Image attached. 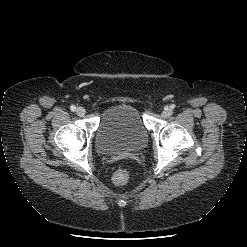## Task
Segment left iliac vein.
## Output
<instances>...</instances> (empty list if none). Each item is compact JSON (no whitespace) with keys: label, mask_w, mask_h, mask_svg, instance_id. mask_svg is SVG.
I'll return each mask as SVG.
<instances>
[{"label":"left iliac vein","mask_w":247,"mask_h":247,"mask_svg":"<svg viewBox=\"0 0 247 247\" xmlns=\"http://www.w3.org/2000/svg\"><path fill=\"white\" fill-rule=\"evenodd\" d=\"M172 113H173L172 109L168 107L162 111V115L164 117H169Z\"/></svg>","instance_id":"4c4485c4"}]
</instances>
